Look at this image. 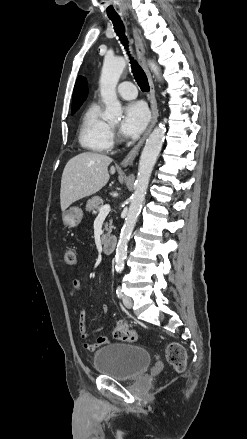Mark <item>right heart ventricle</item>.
Instances as JSON below:
<instances>
[{"mask_svg":"<svg viewBox=\"0 0 247 439\" xmlns=\"http://www.w3.org/2000/svg\"><path fill=\"white\" fill-rule=\"evenodd\" d=\"M78 141L82 148L92 152H107L113 147V135L110 124L102 117L97 103L90 104L83 112Z\"/></svg>","mask_w":247,"mask_h":439,"instance_id":"right-heart-ventricle-1","label":"right heart ventricle"}]
</instances>
